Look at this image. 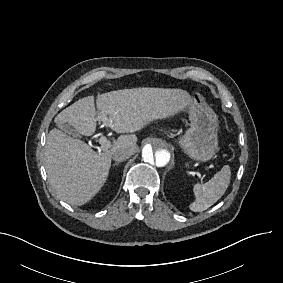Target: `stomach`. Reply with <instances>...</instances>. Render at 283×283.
Instances as JSON below:
<instances>
[{"label": "stomach", "instance_id": "stomach-1", "mask_svg": "<svg viewBox=\"0 0 283 283\" xmlns=\"http://www.w3.org/2000/svg\"><path fill=\"white\" fill-rule=\"evenodd\" d=\"M190 128L179 138V146L192 159L208 161L218 152V118L205 98L195 92L188 106Z\"/></svg>", "mask_w": 283, "mask_h": 283}]
</instances>
